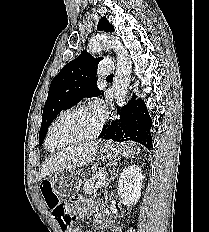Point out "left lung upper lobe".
<instances>
[{
    "label": "left lung upper lobe",
    "mask_w": 209,
    "mask_h": 232,
    "mask_svg": "<svg viewBox=\"0 0 209 232\" xmlns=\"http://www.w3.org/2000/svg\"><path fill=\"white\" fill-rule=\"evenodd\" d=\"M98 30L114 32V27L103 17L99 20ZM102 57L95 59L85 50L66 64L50 84L45 102L42 124L39 131V144L43 143L48 127L56 116L66 108L72 107L83 98L100 95L96 85V65Z\"/></svg>",
    "instance_id": "obj_1"
}]
</instances>
